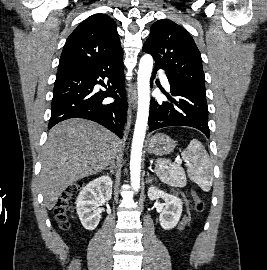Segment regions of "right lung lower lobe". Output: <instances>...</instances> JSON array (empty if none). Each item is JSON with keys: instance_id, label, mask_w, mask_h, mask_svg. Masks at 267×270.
Returning a JSON list of instances; mask_svg holds the SVG:
<instances>
[{"instance_id": "98d812e1", "label": "right lung lower lobe", "mask_w": 267, "mask_h": 270, "mask_svg": "<svg viewBox=\"0 0 267 270\" xmlns=\"http://www.w3.org/2000/svg\"><path fill=\"white\" fill-rule=\"evenodd\" d=\"M105 79L108 87L104 83ZM96 84L107 90L94 93ZM106 97H114L116 100L107 103L104 101ZM126 107L123 57L108 59L81 69L58 72L49 129L63 120L77 117L95 121L121 137Z\"/></svg>"}]
</instances>
